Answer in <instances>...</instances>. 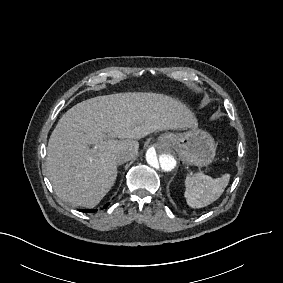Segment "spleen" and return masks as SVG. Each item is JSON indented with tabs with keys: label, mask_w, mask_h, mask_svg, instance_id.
Listing matches in <instances>:
<instances>
[{
	"label": "spleen",
	"mask_w": 283,
	"mask_h": 283,
	"mask_svg": "<svg viewBox=\"0 0 283 283\" xmlns=\"http://www.w3.org/2000/svg\"><path fill=\"white\" fill-rule=\"evenodd\" d=\"M230 175L212 178L202 172L186 175L184 197L192 208L204 207L220 197L229 183Z\"/></svg>",
	"instance_id": "3e777b00"
}]
</instances>
